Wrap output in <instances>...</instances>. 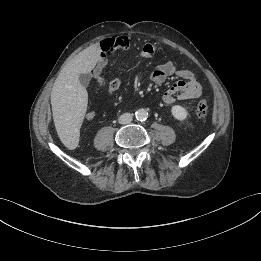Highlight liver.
<instances>
[{
    "label": "liver",
    "mask_w": 261,
    "mask_h": 261,
    "mask_svg": "<svg viewBox=\"0 0 261 261\" xmlns=\"http://www.w3.org/2000/svg\"><path fill=\"white\" fill-rule=\"evenodd\" d=\"M99 44L91 45L67 63L51 92L55 128L62 142L77 136L88 104V93L79 75L92 71L100 58Z\"/></svg>",
    "instance_id": "1"
}]
</instances>
